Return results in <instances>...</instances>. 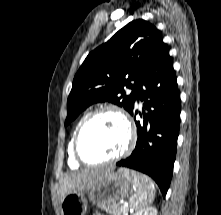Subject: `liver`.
Masks as SVG:
<instances>
[{
	"label": "liver",
	"mask_w": 221,
	"mask_h": 215,
	"mask_svg": "<svg viewBox=\"0 0 221 215\" xmlns=\"http://www.w3.org/2000/svg\"><path fill=\"white\" fill-rule=\"evenodd\" d=\"M110 172V168H96L66 175L60 184V200L67 194L90 190Z\"/></svg>",
	"instance_id": "obj_1"
}]
</instances>
